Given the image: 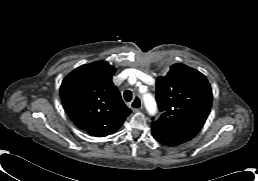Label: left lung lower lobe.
<instances>
[{
  "instance_id": "left-lung-lower-lobe-1",
  "label": "left lung lower lobe",
  "mask_w": 258,
  "mask_h": 181,
  "mask_svg": "<svg viewBox=\"0 0 258 181\" xmlns=\"http://www.w3.org/2000/svg\"><path fill=\"white\" fill-rule=\"evenodd\" d=\"M152 135L157 141L167 146H176L192 139L182 134L171 132L154 125H152Z\"/></svg>"
}]
</instances>
